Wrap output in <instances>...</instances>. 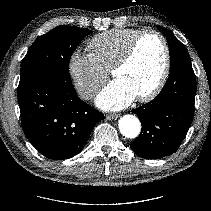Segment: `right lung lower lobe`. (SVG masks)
I'll return each instance as SVG.
<instances>
[{
  "label": "right lung lower lobe",
  "mask_w": 211,
  "mask_h": 211,
  "mask_svg": "<svg viewBox=\"0 0 211 211\" xmlns=\"http://www.w3.org/2000/svg\"><path fill=\"white\" fill-rule=\"evenodd\" d=\"M23 131L46 158L64 160L81 152L104 115L83 102L71 80L42 73L19 82Z\"/></svg>",
  "instance_id": "1"
}]
</instances>
